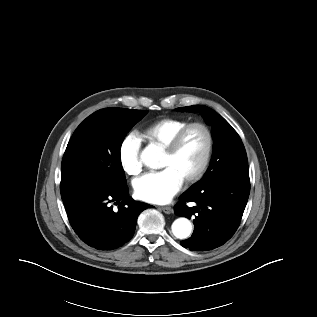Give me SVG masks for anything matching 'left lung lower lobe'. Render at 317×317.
Returning a JSON list of instances; mask_svg holds the SVG:
<instances>
[{
    "mask_svg": "<svg viewBox=\"0 0 317 317\" xmlns=\"http://www.w3.org/2000/svg\"><path fill=\"white\" fill-rule=\"evenodd\" d=\"M249 192V175H232L189 188L174 208L178 216L195 217L194 232L181 245L191 251H206L225 244L240 224Z\"/></svg>",
    "mask_w": 317,
    "mask_h": 317,
    "instance_id": "left-lung-lower-lobe-1",
    "label": "left lung lower lobe"
}]
</instances>
